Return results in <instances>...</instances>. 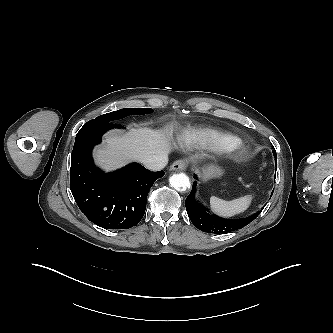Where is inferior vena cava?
I'll return each mask as SVG.
<instances>
[{
    "label": "inferior vena cava",
    "instance_id": "1",
    "mask_svg": "<svg viewBox=\"0 0 333 333\" xmlns=\"http://www.w3.org/2000/svg\"><path fill=\"white\" fill-rule=\"evenodd\" d=\"M168 158L166 156H154L143 158L140 162L149 170L158 171L163 169L167 164Z\"/></svg>",
    "mask_w": 333,
    "mask_h": 333
}]
</instances>
